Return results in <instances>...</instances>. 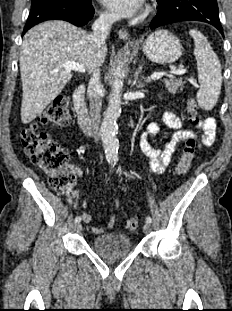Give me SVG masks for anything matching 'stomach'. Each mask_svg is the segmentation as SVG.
Here are the masks:
<instances>
[{"label":"stomach","instance_id":"1","mask_svg":"<svg viewBox=\"0 0 232 311\" xmlns=\"http://www.w3.org/2000/svg\"><path fill=\"white\" fill-rule=\"evenodd\" d=\"M142 51L152 62L166 64L180 58L182 46L179 39L169 31L156 30L146 38Z\"/></svg>","mask_w":232,"mask_h":311}]
</instances>
